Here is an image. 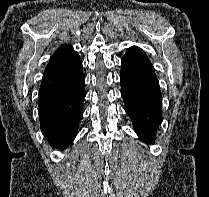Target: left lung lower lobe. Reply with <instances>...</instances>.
<instances>
[{"instance_id": "1", "label": "left lung lower lobe", "mask_w": 209, "mask_h": 197, "mask_svg": "<svg viewBox=\"0 0 209 197\" xmlns=\"http://www.w3.org/2000/svg\"><path fill=\"white\" fill-rule=\"evenodd\" d=\"M120 82L125 111L135 132L145 143H154V132L162 118V94L153 65L142 49L133 46L127 50Z\"/></svg>"}]
</instances>
